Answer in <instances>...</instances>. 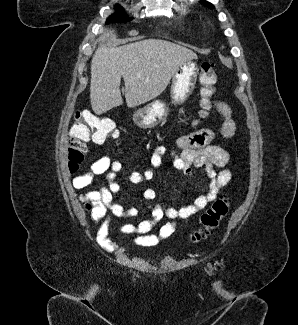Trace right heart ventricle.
Segmentation results:
<instances>
[{
	"mask_svg": "<svg viewBox=\"0 0 298 325\" xmlns=\"http://www.w3.org/2000/svg\"><path fill=\"white\" fill-rule=\"evenodd\" d=\"M181 29L187 34H192L195 30V25L193 24V22L186 21L181 24Z\"/></svg>",
	"mask_w": 298,
	"mask_h": 325,
	"instance_id": "1",
	"label": "right heart ventricle"
}]
</instances>
